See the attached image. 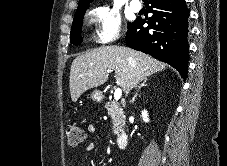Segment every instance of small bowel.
Masks as SVG:
<instances>
[{"label": "small bowel", "mask_w": 227, "mask_h": 166, "mask_svg": "<svg viewBox=\"0 0 227 166\" xmlns=\"http://www.w3.org/2000/svg\"><path fill=\"white\" fill-rule=\"evenodd\" d=\"M87 131L89 133H95L96 132V127L92 124H90L88 127H87ZM95 148V144L93 142H90L87 144V146L85 147V151L86 152H89V151H92L93 149ZM76 164H78V161H76Z\"/></svg>", "instance_id": "c3829d8e"}]
</instances>
